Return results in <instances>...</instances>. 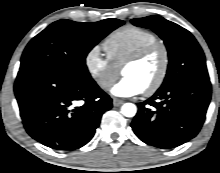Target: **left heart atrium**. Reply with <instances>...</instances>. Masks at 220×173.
Instances as JSON below:
<instances>
[{"label": "left heart atrium", "mask_w": 220, "mask_h": 173, "mask_svg": "<svg viewBox=\"0 0 220 173\" xmlns=\"http://www.w3.org/2000/svg\"><path fill=\"white\" fill-rule=\"evenodd\" d=\"M144 91L142 86L131 77H123L111 88V93L117 97H132Z\"/></svg>", "instance_id": "39dd6f15"}]
</instances>
